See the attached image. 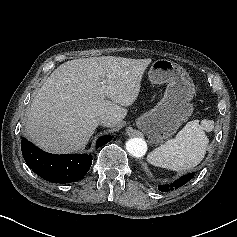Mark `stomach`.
I'll return each mask as SVG.
<instances>
[{
    "mask_svg": "<svg viewBox=\"0 0 237 237\" xmlns=\"http://www.w3.org/2000/svg\"><path fill=\"white\" fill-rule=\"evenodd\" d=\"M148 79L152 84H167V87L163 99L141 115L136 125L152 143L160 144L172 137L192 115L195 86L185 69L167 59H157L151 64Z\"/></svg>",
    "mask_w": 237,
    "mask_h": 237,
    "instance_id": "0dacf381",
    "label": "stomach"
}]
</instances>
